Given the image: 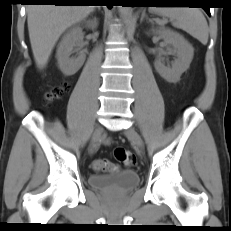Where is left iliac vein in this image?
I'll list each match as a JSON object with an SVG mask.
<instances>
[{
  "instance_id": "left-iliac-vein-1",
  "label": "left iliac vein",
  "mask_w": 231,
  "mask_h": 231,
  "mask_svg": "<svg viewBox=\"0 0 231 231\" xmlns=\"http://www.w3.org/2000/svg\"><path fill=\"white\" fill-rule=\"evenodd\" d=\"M124 134L132 140V142L134 143V145L140 150H143L144 144H143V140L141 138V136L138 134V132L130 127L127 130H125Z\"/></svg>"
}]
</instances>
